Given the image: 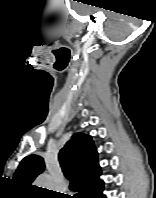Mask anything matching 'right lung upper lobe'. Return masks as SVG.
I'll return each mask as SVG.
<instances>
[{
    "label": "right lung upper lobe",
    "instance_id": "obj_1",
    "mask_svg": "<svg viewBox=\"0 0 156 198\" xmlns=\"http://www.w3.org/2000/svg\"><path fill=\"white\" fill-rule=\"evenodd\" d=\"M59 161L64 175L71 181L70 189L91 198L103 189L101 170L93 140L84 133H75L60 150ZM44 160L38 155L25 157L17 168L14 179L24 185L44 171Z\"/></svg>",
    "mask_w": 156,
    "mask_h": 198
}]
</instances>
